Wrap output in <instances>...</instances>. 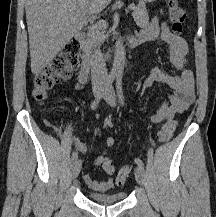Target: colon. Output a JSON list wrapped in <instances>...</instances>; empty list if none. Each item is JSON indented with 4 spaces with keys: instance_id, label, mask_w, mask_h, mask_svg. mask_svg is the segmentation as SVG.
I'll return each instance as SVG.
<instances>
[{
    "instance_id": "colon-1",
    "label": "colon",
    "mask_w": 216,
    "mask_h": 217,
    "mask_svg": "<svg viewBox=\"0 0 216 217\" xmlns=\"http://www.w3.org/2000/svg\"><path fill=\"white\" fill-rule=\"evenodd\" d=\"M169 19L173 32L181 33L186 21V12L176 0H169ZM80 49L81 45L77 40L69 41L63 50L35 75L33 97L37 102H45L49 90L57 82L71 77L78 66ZM103 125L104 128L111 129L114 126V119L112 117L106 118ZM176 127L177 122L174 119L166 121L158 132V142H168L173 136ZM103 169L109 173L113 172L114 166L112 161H106L103 164ZM130 171L129 166L120 168L116 174L117 182L123 184Z\"/></svg>"
}]
</instances>
